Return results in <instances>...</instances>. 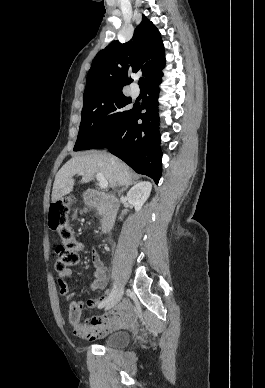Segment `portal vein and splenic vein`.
Here are the masks:
<instances>
[{"label":"portal vein and splenic vein","mask_w":265,"mask_h":388,"mask_svg":"<svg viewBox=\"0 0 265 388\" xmlns=\"http://www.w3.org/2000/svg\"><path fill=\"white\" fill-rule=\"evenodd\" d=\"M80 176H84V172H80ZM96 180H98L100 188H108V182L103 174H96Z\"/></svg>","instance_id":"obj_1"}]
</instances>
